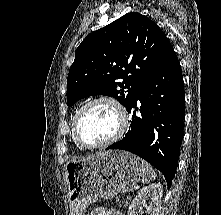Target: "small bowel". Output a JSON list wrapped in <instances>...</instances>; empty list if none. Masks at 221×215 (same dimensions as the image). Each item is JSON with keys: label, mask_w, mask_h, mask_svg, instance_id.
<instances>
[{"label": "small bowel", "mask_w": 221, "mask_h": 215, "mask_svg": "<svg viewBox=\"0 0 221 215\" xmlns=\"http://www.w3.org/2000/svg\"><path fill=\"white\" fill-rule=\"evenodd\" d=\"M88 215H122V214L120 211L116 209L100 207V208L93 210Z\"/></svg>", "instance_id": "small-bowel-1"}]
</instances>
